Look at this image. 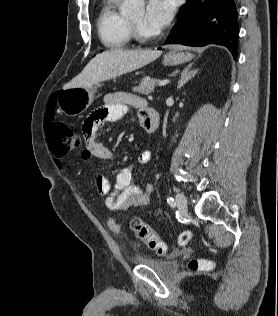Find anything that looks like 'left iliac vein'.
Returning a JSON list of instances; mask_svg holds the SVG:
<instances>
[{
	"label": "left iliac vein",
	"instance_id": "4c4485c4",
	"mask_svg": "<svg viewBox=\"0 0 278 316\" xmlns=\"http://www.w3.org/2000/svg\"><path fill=\"white\" fill-rule=\"evenodd\" d=\"M176 204L181 215H186L188 212L187 199L183 193L178 192L176 194Z\"/></svg>",
	"mask_w": 278,
	"mask_h": 316
}]
</instances>
